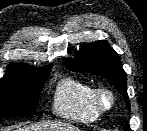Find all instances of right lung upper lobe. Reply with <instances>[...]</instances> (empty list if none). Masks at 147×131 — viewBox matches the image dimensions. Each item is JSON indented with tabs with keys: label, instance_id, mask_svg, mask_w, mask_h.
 I'll return each mask as SVG.
<instances>
[{
	"label": "right lung upper lobe",
	"instance_id": "cb5924a9",
	"mask_svg": "<svg viewBox=\"0 0 147 131\" xmlns=\"http://www.w3.org/2000/svg\"><path fill=\"white\" fill-rule=\"evenodd\" d=\"M51 69V66H47L42 70H38L35 67H32L27 64H10L7 66V72L5 75H33V74H43L48 72Z\"/></svg>",
	"mask_w": 147,
	"mask_h": 131
}]
</instances>
